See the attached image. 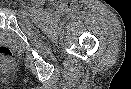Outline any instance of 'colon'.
I'll use <instances>...</instances> for the list:
<instances>
[{
	"label": "colon",
	"instance_id": "1",
	"mask_svg": "<svg viewBox=\"0 0 131 89\" xmlns=\"http://www.w3.org/2000/svg\"><path fill=\"white\" fill-rule=\"evenodd\" d=\"M12 57V52L8 48L0 47V60L10 61Z\"/></svg>",
	"mask_w": 131,
	"mask_h": 89
}]
</instances>
